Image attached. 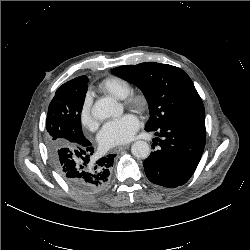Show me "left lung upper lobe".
<instances>
[{"instance_id":"5c2ea615","label":"left lung upper lobe","mask_w":250,"mask_h":250,"mask_svg":"<svg viewBox=\"0 0 250 250\" xmlns=\"http://www.w3.org/2000/svg\"><path fill=\"white\" fill-rule=\"evenodd\" d=\"M112 73L140 87L148 101L145 129L190 120H205L203 102L190 77L180 68L156 62L126 65Z\"/></svg>"}]
</instances>
